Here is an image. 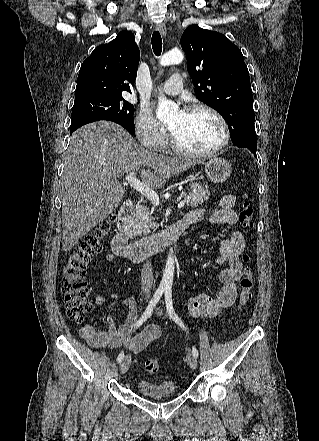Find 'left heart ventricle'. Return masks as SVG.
<instances>
[{"label": "left heart ventricle", "instance_id": "obj_1", "mask_svg": "<svg viewBox=\"0 0 319 441\" xmlns=\"http://www.w3.org/2000/svg\"><path fill=\"white\" fill-rule=\"evenodd\" d=\"M167 124L178 142L193 151L212 149L222 140L219 122L204 110L176 112Z\"/></svg>", "mask_w": 319, "mask_h": 441}]
</instances>
